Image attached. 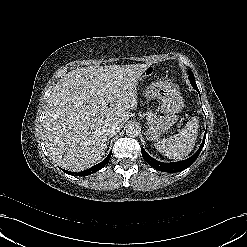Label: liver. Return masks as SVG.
Returning <instances> with one entry per match:
<instances>
[{
    "mask_svg": "<svg viewBox=\"0 0 247 247\" xmlns=\"http://www.w3.org/2000/svg\"><path fill=\"white\" fill-rule=\"evenodd\" d=\"M149 65L82 67L60 79L43 120L49 158L71 171L98 163L107 148L106 125L127 122L138 103V79Z\"/></svg>",
    "mask_w": 247,
    "mask_h": 247,
    "instance_id": "obj_1",
    "label": "liver"
}]
</instances>
